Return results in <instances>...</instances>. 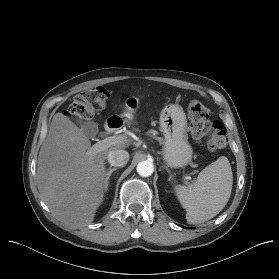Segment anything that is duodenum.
<instances>
[{"label": "duodenum", "instance_id": "410a0bca", "mask_svg": "<svg viewBox=\"0 0 279 279\" xmlns=\"http://www.w3.org/2000/svg\"><path fill=\"white\" fill-rule=\"evenodd\" d=\"M120 125V119L118 118H110L107 123H106V132L107 133H113L116 131V129L119 127Z\"/></svg>", "mask_w": 279, "mask_h": 279}]
</instances>
